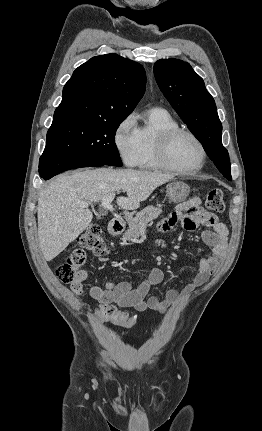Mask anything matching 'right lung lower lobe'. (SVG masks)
<instances>
[{"instance_id":"1","label":"right lung lower lobe","mask_w":262,"mask_h":431,"mask_svg":"<svg viewBox=\"0 0 262 431\" xmlns=\"http://www.w3.org/2000/svg\"><path fill=\"white\" fill-rule=\"evenodd\" d=\"M105 164L94 160L69 156H41L39 161V173L44 180L75 168L96 167Z\"/></svg>"}]
</instances>
